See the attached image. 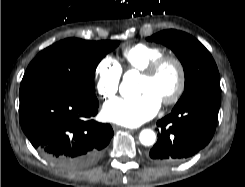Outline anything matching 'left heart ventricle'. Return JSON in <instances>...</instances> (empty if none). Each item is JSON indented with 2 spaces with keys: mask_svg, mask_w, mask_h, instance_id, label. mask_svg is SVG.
<instances>
[{
  "mask_svg": "<svg viewBox=\"0 0 245 187\" xmlns=\"http://www.w3.org/2000/svg\"><path fill=\"white\" fill-rule=\"evenodd\" d=\"M177 82L176 67L172 63H166L154 77H141L139 91L140 93L150 91L162 101L174 92Z\"/></svg>",
  "mask_w": 245,
  "mask_h": 187,
  "instance_id": "b2bd125f",
  "label": "left heart ventricle"
}]
</instances>
